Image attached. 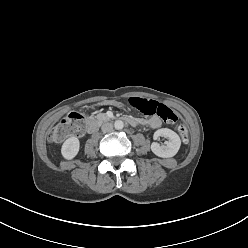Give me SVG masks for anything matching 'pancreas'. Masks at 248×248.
Listing matches in <instances>:
<instances>
[{"label": "pancreas", "mask_w": 248, "mask_h": 248, "mask_svg": "<svg viewBox=\"0 0 248 248\" xmlns=\"http://www.w3.org/2000/svg\"><path fill=\"white\" fill-rule=\"evenodd\" d=\"M96 119H97V121L99 122V123H103V122H106V121H108L110 118L106 115V114H104V113H99V114H97V116L95 117Z\"/></svg>", "instance_id": "obj_1"}]
</instances>
